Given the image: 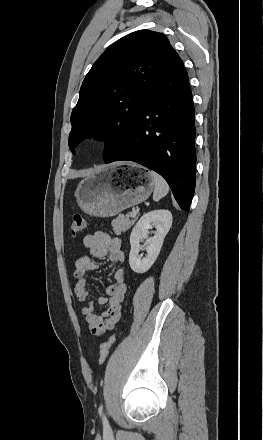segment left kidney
Instances as JSON below:
<instances>
[{
	"mask_svg": "<svg viewBox=\"0 0 263 440\" xmlns=\"http://www.w3.org/2000/svg\"><path fill=\"white\" fill-rule=\"evenodd\" d=\"M172 225V214L168 210L160 209L145 213L134 226L130 235L131 250L129 264L136 273H145L157 259L163 245L165 236ZM155 227L156 233L148 238V229ZM146 239L147 255L141 259L139 251L140 241Z\"/></svg>",
	"mask_w": 263,
	"mask_h": 440,
	"instance_id": "5707ae66",
	"label": "left kidney"
}]
</instances>
